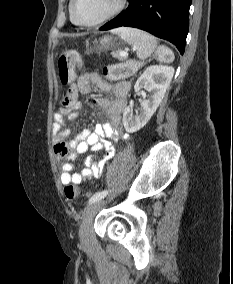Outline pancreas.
<instances>
[{
  "label": "pancreas",
  "mask_w": 233,
  "mask_h": 284,
  "mask_svg": "<svg viewBox=\"0 0 233 284\" xmlns=\"http://www.w3.org/2000/svg\"><path fill=\"white\" fill-rule=\"evenodd\" d=\"M120 51H115V52H112V56L113 57H116V58H119V59H122V57L119 55ZM127 65L130 67L131 69V72H135L138 70V68L140 67L141 64H138L137 62L135 61H129L127 63Z\"/></svg>",
  "instance_id": "obj_1"
}]
</instances>
